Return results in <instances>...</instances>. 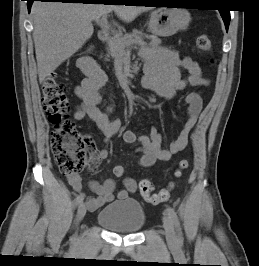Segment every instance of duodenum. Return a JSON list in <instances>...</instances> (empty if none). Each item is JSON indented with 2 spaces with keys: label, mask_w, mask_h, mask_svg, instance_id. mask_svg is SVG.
<instances>
[{
  "label": "duodenum",
  "mask_w": 259,
  "mask_h": 266,
  "mask_svg": "<svg viewBox=\"0 0 259 266\" xmlns=\"http://www.w3.org/2000/svg\"><path fill=\"white\" fill-rule=\"evenodd\" d=\"M110 35L107 30H101L98 34V38L101 42H105L109 39ZM80 68L82 69L85 75H91L94 71V63L90 57L84 58L80 63Z\"/></svg>",
  "instance_id": "obj_1"
}]
</instances>
